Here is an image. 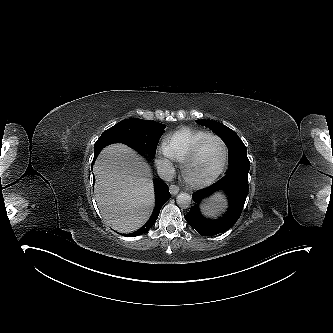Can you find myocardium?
<instances>
[{"label": "myocardium", "mask_w": 333, "mask_h": 333, "mask_svg": "<svg viewBox=\"0 0 333 333\" xmlns=\"http://www.w3.org/2000/svg\"><path fill=\"white\" fill-rule=\"evenodd\" d=\"M211 139L218 140L223 146L224 155H223L222 163H221L220 167L217 169V171L212 176L205 178V179H195L188 172L189 164L198 156L202 146L208 140H211ZM228 158H229L228 147H227V144L224 141V139L218 135L210 134V135L204 137L203 139H201L199 142H197L193 146V148L190 150V152L186 155V157L184 158V160L182 161V164H181V172H182V175H183L184 179L186 180V182L188 184H190L191 186H193V187L207 186V185L213 183L215 180H217L220 177V175L223 173V171L226 168Z\"/></svg>", "instance_id": "obj_1"}]
</instances>
